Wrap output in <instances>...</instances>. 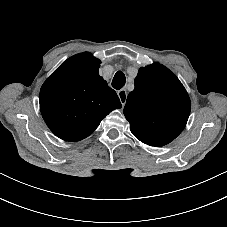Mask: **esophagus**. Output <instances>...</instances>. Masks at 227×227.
<instances>
[{
  "instance_id": "obj_1",
  "label": "esophagus",
  "mask_w": 227,
  "mask_h": 227,
  "mask_svg": "<svg viewBox=\"0 0 227 227\" xmlns=\"http://www.w3.org/2000/svg\"><path fill=\"white\" fill-rule=\"evenodd\" d=\"M117 95H118V97L120 99V102L122 104V109H123V107H124V105L126 103V100H127V92H126L125 89H121V90L117 91Z\"/></svg>"
}]
</instances>
